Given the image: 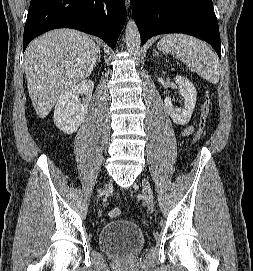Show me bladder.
I'll use <instances>...</instances> for the list:
<instances>
[{"label": "bladder", "mask_w": 253, "mask_h": 271, "mask_svg": "<svg viewBox=\"0 0 253 271\" xmlns=\"http://www.w3.org/2000/svg\"><path fill=\"white\" fill-rule=\"evenodd\" d=\"M96 239L101 251L113 257H134L145 246L141 228L126 219L107 222L98 231Z\"/></svg>", "instance_id": "31cf9c89"}]
</instances>
